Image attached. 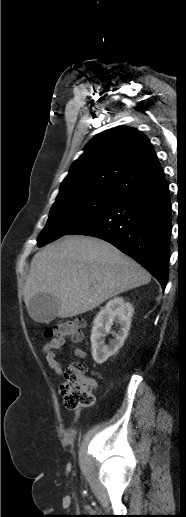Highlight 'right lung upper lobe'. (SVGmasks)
Returning a JSON list of instances; mask_svg holds the SVG:
<instances>
[{
  "instance_id": "1",
  "label": "right lung upper lobe",
  "mask_w": 186,
  "mask_h": 517,
  "mask_svg": "<svg viewBox=\"0 0 186 517\" xmlns=\"http://www.w3.org/2000/svg\"><path fill=\"white\" fill-rule=\"evenodd\" d=\"M84 151L72 164L57 198L78 194L120 198L164 177L149 139L131 127L98 134Z\"/></svg>"
}]
</instances>
